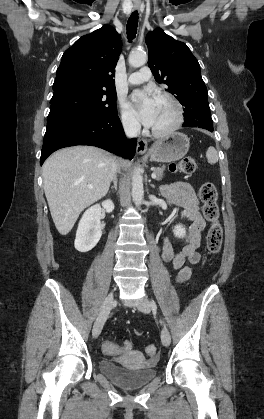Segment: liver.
I'll use <instances>...</instances> for the list:
<instances>
[{
    "label": "liver",
    "mask_w": 264,
    "mask_h": 419,
    "mask_svg": "<svg viewBox=\"0 0 264 419\" xmlns=\"http://www.w3.org/2000/svg\"><path fill=\"white\" fill-rule=\"evenodd\" d=\"M114 160L111 154L100 148L72 146L58 150L44 162L45 196L61 235L71 231L86 207L107 194ZM129 165L128 161L120 162L123 168Z\"/></svg>",
    "instance_id": "6515ba94"
}]
</instances>
